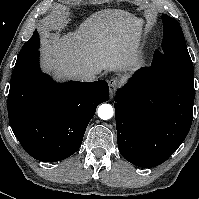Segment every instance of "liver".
<instances>
[{"label":"liver","instance_id":"6515ba94","mask_svg":"<svg viewBox=\"0 0 199 199\" xmlns=\"http://www.w3.org/2000/svg\"><path fill=\"white\" fill-rule=\"evenodd\" d=\"M141 20L119 9L92 14L74 32L49 35L43 42V67L57 78L79 79L81 71H126L138 63Z\"/></svg>","mask_w":199,"mask_h":199}]
</instances>
